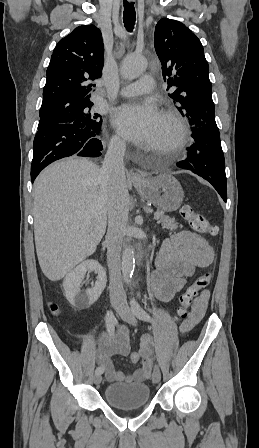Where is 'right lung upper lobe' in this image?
I'll use <instances>...</instances> for the list:
<instances>
[{"instance_id": "right-lung-upper-lobe-1", "label": "right lung upper lobe", "mask_w": 259, "mask_h": 448, "mask_svg": "<svg viewBox=\"0 0 259 448\" xmlns=\"http://www.w3.org/2000/svg\"><path fill=\"white\" fill-rule=\"evenodd\" d=\"M104 46L101 31L82 25L61 39L46 71L39 114L93 104L90 82L102 75Z\"/></svg>"}]
</instances>
